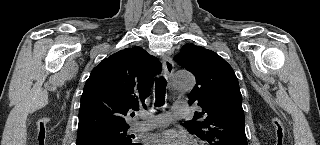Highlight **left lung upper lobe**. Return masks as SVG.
Here are the masks:
<instances>
[{
  "mask_svg": "<svg viewBox=\"0 0 320 145\" xmlns=\"http://www.w3.org/2000/svg\"><path fill=\"white\" fill-rule=\"evenodd\" d=\"M174 59L195 76L189 104L202 108L185 122L188 131L210 145H247L242 95L231 66L217 53L193 43L185 44Z\"/></svg>",
  "mask_w": 320,
  "mask_h": 145,
  "instance_id": "obj_1",
  "label": "left lung upper lobe"
}]
</instances>
